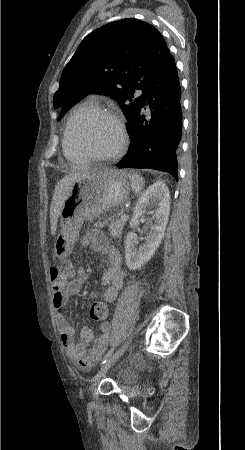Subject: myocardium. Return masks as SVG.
Instances as JSON below:
<instances>
[{
  "label": "myocardium",
  "mask_w": 245,
  "mask_h": 450,
  "mask_svg": "<svg viewBox=\"0 0 245 450\" xmlns=\"http://www.w3.org/2000/svg\"><path fill=\"white\" fill-rule=\"evenodd\" d=\"M99 118L108 119L117 126V129H118L119 135H120V141H119V145L115 151H113L112 153H109L107 155H104V156H98V155H94V154L90 153L83 145H81L79 143L77 136H76L75 122L79 119H72L70 122V132H71L72 143H73V146L79 152H81L84 156H86L88 159L98 161V162L113 161V160L119 158L127 148L128 141H129L127 128H126V125H125L123 119L117 113H115L111 110H108V109H99V108L95 109L92 112H90L89 114H87L86 116L80 118V120H82L85 124H90L91 122H93Z\"/></svg>",
  "instance_id": "myocardium-1"
}]
</instances>
